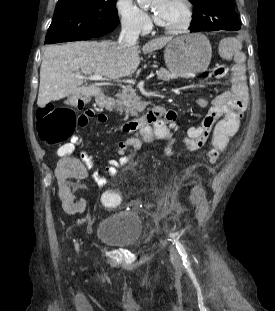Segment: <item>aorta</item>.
Returning <instances> with one entry per match:
<instances>
[{
  "label": "aorta",
  "mask_w": 275,
  "mask_h": 311,
  "mask_svg": "<svg viewBox=\"0 0 275 311\" xmlns=\"http://www.w3.org/2000/svg\"><path fill=\"white\" fill-rule=\"evenodd\" d=\"M157 0H137L139 6L141 8H145L149 5H151L153 2H156Z\"/></svg>",
  "instance_id": "obj_1"
}]
</instances>
